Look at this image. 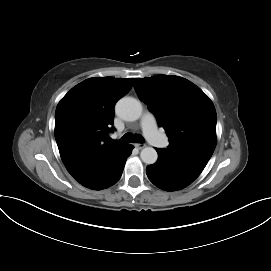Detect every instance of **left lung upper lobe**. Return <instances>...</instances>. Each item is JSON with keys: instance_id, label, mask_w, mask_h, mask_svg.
<instances>
[{"instance_id": "left-lung-upper-lobe-1", "label": "left lung upper lobe", "mask_w": 271, "mask_h": 271, "mask_svg": "<svg viewBox=\"0 0 271 271\" xmlns=\"http://www.w3.org/2000/svg\"><path fill=\"white\" fill-rule=\"evenodd\" d=\"M134 87L169 138L168 149L208 161L216 146V111L192 82L178 76L134 79Z\"/></svg>"}]
</instances>
